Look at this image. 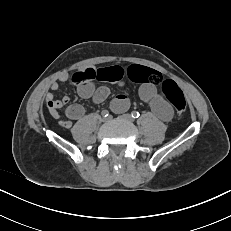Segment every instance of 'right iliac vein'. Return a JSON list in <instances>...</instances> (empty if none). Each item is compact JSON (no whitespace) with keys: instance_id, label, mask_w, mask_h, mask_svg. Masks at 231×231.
Returning <instances> with one entry per match:
<instances>
[{"instance_id":"1","label":"right iliac vein","mask_w":231,"mask_h":231,"mask_svg":"<svg viewBox=\"0 0 231 231\" xmlns=\"http://www.w3.org/2000/svg\"><path fill=\"white\" fill-rule=\"evenodd\" d=\"M107 120V118H102V121H106Z\"/></svg>"}]
</instances>
